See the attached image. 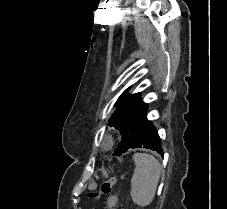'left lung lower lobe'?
Listing matches in <instances>:
<instances>
[{"label": "left lung lower lobe", "mask_w": 227, "mask_h": 209, "mask_svg": "<svg viewBox=\"0 0 227 209\" xmlns=\"http://www.w3.org/2000/svg\"><path fill=\"white\" fill-rule=\"evenodd\" d=\"M130 148H146L163 154L161 140L153 124L144 116Z\"/></svg>", "instance_id": "1"}]
</instances>
